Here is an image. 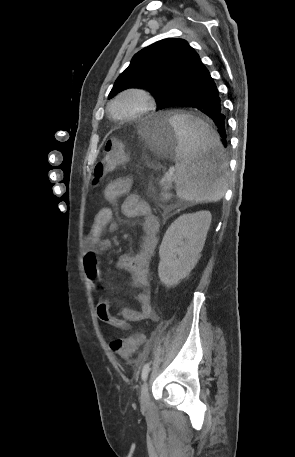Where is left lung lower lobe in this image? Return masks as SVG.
<instances>
[{"label": "left lung lower lobe", "instance_id": "0a47b994", "mask_svg": "<svg viewBox=\"0 0 295 457\" xmlns=\"http://www.w3.org/2000/svg\"><path fill=\"white\" fill-rule=\"evenodd\" d=\"M180 106L190 107L199 110L210 117L218 127V133L224 147H227V134L225 116L222 113V106L218 96L216 84L208 69L198 58L188 74V87L180 93L172 96L163 108ZM212 161L216 154H209Z\"/></svg>", "mask_w": 295, "mask_h": 457}]
</instances>
